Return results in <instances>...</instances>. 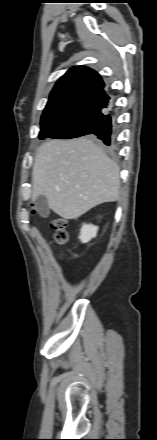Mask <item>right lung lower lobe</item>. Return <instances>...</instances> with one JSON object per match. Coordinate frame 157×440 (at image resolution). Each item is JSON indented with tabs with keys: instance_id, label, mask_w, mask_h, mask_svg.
<instances>
[{
	"instance_id": "right-lung-lower-lobe-1",
	"label": "right lung lower lobe",
	"mask_w": 157,
	"mask_h": 440,
	"mask_svg": "<svg viewBox=\"0 0 157 440\" xmlns=\"http://www.w3.org/2000/svg\"><path fill=\"white\" fill-rule=\"evenodd\" d=\"M88 128L106 145H111L112 118L109 111L100 115Z\"/></svg>"
}]
</instances>
